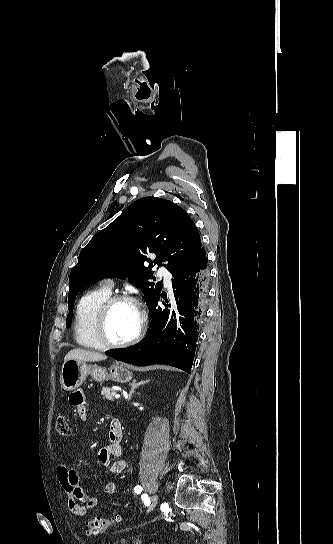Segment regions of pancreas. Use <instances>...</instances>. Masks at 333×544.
Instances as JSON below:
<instances>
[{
	"mask_svg": "<svg viewBox=\"0 0 333 544\" xmlns=\"http://www.w3.org/2000/svg\"><path fill=\"white\" fill-rule=\"evenodd\" d=\"M116 394V390L113 388L103 387L101 391V398L107 399V400H114V395Z\"/></svg>",
	"mask_w": 333,
	"mask_h": 544,
	"instance_id": "pancreas-1",
	"label": "pancreas"
}]
</instances>
